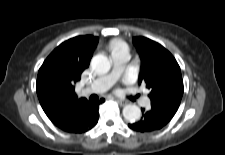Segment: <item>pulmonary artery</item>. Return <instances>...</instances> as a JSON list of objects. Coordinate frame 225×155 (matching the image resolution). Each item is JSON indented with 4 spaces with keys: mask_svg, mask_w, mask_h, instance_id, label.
Segmentation results:
<instances>
[{
    "mask_svg": "<svg viewBox=\"0 0 225 155\" xmlns=\"http://www.w3.org/2000/svg\"><path fill=\"white\" fill-rule=\"evenodd\" d=\"M111 58L113 62V69L110 73L97 78L89 87L84 89L85 94L102 93L114 85L118 78L123 74L126 64L130 59L129 50L127 47H121L112 51ZM150 99L143 97L141 105L148 106Z\"/></svg>",
    "mask_w": 225,
    "mask_h": 155,
    "instance_id": "1",
    "label": "pulmonary artery"
}]
</instances>
